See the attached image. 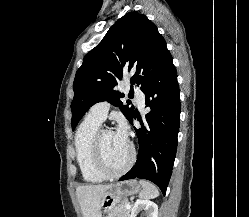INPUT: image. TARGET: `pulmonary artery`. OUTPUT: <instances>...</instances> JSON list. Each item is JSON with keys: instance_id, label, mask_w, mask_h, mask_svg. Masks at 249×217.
I'll return each instance as SVG.
<instances>
[{"instance_id": "pulmonary-artery-1", "label": "pulmonary artery", "mask_w": 249, "mask_h": 217, "mask_svg": "<svg viewBox=\"0 0 249 217\" xmlns=\"http://www.w3.org/2000/svg\"><path fill=\"white\" fill-rule=\"evenodd\" d=\"M134 91L137 96V102H138L139 108H143L145 104V95L143 91L137 88H134ZM109 108H110V104L107 101H102V102H99L93 105L90 108L88 115L100 122H103L107 117Z\"/></svg>"}]
</instances>
